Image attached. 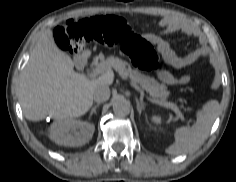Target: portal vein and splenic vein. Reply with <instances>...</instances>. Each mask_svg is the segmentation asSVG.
I'll return each instance as SVG.
<instances>
[{"label": "portal vein and splenic vein", "instance_id": "portal-vein-and-splenic-vein-1", "mask_svg": "<svg viewBox=\"0 0 236 182\" xmlns=\"http://www.w3.org/2000/svg\"><path fill=\"white\" fill-rule=\"evenodd\" d=\"M108 68L105 66V65H97L95 68H93V70L89 73V76L91 78H95L99 73H102V72H105L107 71ZM130 85L135 88V90H137L138 92H140L141 95L144 96V92L139 88L138 85H136L134 82H130ZM149 100L152 102V103H155V104H158V105H161V106H165V107H168L170 109H172L178 117H180L181 119H183V115L182 113L179 111L178 107L174 104V103H171V102H165V101H160V100H157V99H152V98H149Z\"/></svg>", "mask_w": 236, "mask_h": 182}]
</instances>
